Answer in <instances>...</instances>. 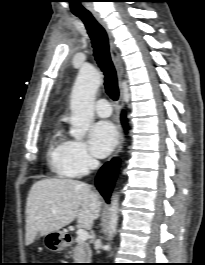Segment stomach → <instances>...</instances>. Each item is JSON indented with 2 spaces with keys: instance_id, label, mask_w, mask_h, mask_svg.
<instances>
[{
  "instance_id": "stomach-1",
  "label": "stomach",
  "mask_w": 205,
  "mask_h": 265,
  "mask_svg": "<svg viewBox=\"0 0 205 265\" xmlns=\"http://www.w3.org/2000/svg\"><path fill=\"white\" fill-rule=\"evenodd\" d=\"M43 242L44 246L52 252L61 251L66 247L64 234L60 231H55L46 234L44 236Z\"/></svg>"
}]
</instances>
